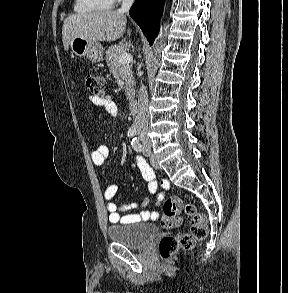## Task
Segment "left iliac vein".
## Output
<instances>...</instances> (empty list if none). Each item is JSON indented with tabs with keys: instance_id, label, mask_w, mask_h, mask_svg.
Listing matches in <instances>:
<instances>
[{
	"instance_id": "obj_1",
	"label": "left iliac vein",
	"mask_w": 288,
	"mask_h": 293,
	"mask_svg": "<svg viewBox=\"0 0 288 293\" xmlns=\"http://www.w3.org/2000/svg\"><path fill=\"white\" fill-rule=\"evenodd\" d=\"M144 152H145V155H146V156H149V157L152 156V153H151V147H150V144H149V143H146V144H145Z\"/></svg>"
}]
</instances>
